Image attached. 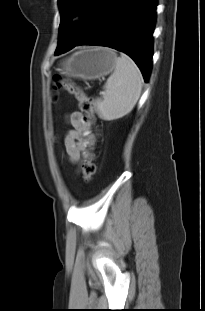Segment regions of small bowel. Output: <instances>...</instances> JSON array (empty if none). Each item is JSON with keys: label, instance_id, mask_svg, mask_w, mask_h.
<instances>
[{"label": "small bowel", "instance_id": "small-bowel-1", "mask_svg": "<svg viewBox=\"0 0 205 311\" xmlns=\"http://www.w3.org/2000/svg\"><path fill=\"white\" fill-rule=\"evenodd\" d=\"M68 121L72 128L65 135L64 146L68 158L72 162H78L86 147L96 138L91 133L90 125L85 122L81 112L70 113Z\"/></svg>", "mask_w": 205, "mask_h": 311}]
</instances>
